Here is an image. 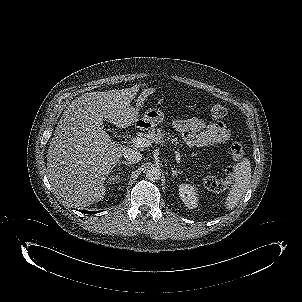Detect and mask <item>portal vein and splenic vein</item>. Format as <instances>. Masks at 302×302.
Listing matches in <instances>:
<instances>
[{
  "instance_id": "obj_1",
  "label": "portal vein and splenic vein",
  "mask_w": 302,
  "mask_h": 302,
  "mask_svg": "<svg viewBox=\"0 0 302 302\" xmlns=\"http://www.w3.org/2000/svg\"><path fill=\"white\" fill-rule=\"evenodd\" d=\"M131 141L137 147H148L149 145H151V141L150 140H148L146 138H142V137L132 138ZM176 155L178 156V154H176Z\"/></svg>"
}]
</instances>
